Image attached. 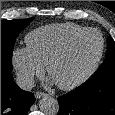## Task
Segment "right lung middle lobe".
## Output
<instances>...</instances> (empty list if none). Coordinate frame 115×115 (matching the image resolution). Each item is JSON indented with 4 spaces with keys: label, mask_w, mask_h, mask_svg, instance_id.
Listing matches in <instances>:
<instances>
[{
    "label": "right lung middle lobe",
    "mask_w": 115,
    "mask_h": 115,
    "mask_svg": "<svg viewBox=\"0 0 115 115\" xmlns=\"http://www.w3.org/2000/svg\"><path fill=\"white\" fill-rule=\"evenodd\" d=\"M31 21L32 18L1 21V72H11L15 39Z\"/></svg>",
    "instance_id": "dd1d6c3e"
}]
</instances>
